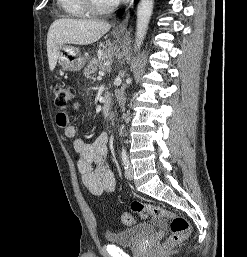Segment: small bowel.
I'll return each instance as SVG.
<instances>
[{
    "label": "small bowel",
    "instance_id": "c3829d8e",
    "mask_svg": "<svg viewBox=\"0 0 247 257\" xmlns=\"http://www.w3.org/2000/svg\"><path fill=\"white\" fill-rule=\"evenodd\" d=\"M77 107V105H75ZM57 124L63 128L68 138H73V149L77 154V170L84 186L95 196L113 193L116 189V178L106 162L109 136L102 133L94 142L87 143L76 138V129L69 124L68 115L58 113ZM93 164L96 165L93 168Z\"/></svg>",
    "mask_w": 247,
    "mask_h": 257
}]
</instances>
